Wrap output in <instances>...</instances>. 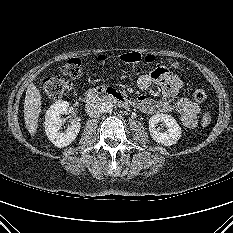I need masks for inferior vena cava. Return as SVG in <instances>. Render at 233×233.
<instances>
[{"label":"inferior vena cava","mask_w":233,"mask_h":233,"mask_svg":"<svg viewBox=\"0 0 233 233\" xmlns=\"http://www.w3.org/2000/svg\"><path fill=\"white\" fill-rule=\"evenodd\" d=\"M103 107H104V103L98 102L96 100L87 102L85 106L86 113L90 117H94V118L99 117L104 112Z\"/></svg>","instance_id":"obj_1"}]
</instances>
